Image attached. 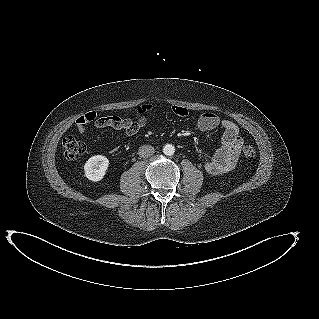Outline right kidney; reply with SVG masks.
I'll use <instances>...</instances> for the list:
<instances>
[{
	"mask_svg": "<svg viewBox=\"0 0 319 319\" xmlns=\"http://www.w3.org/2000/svg\"><path fill=\"white\" fill-rule=\"evenodd\" d=\"M109 160L103 155H95L89 158L84 165L86 178L91 181H100L106 174Z\"/></svg>",
	"mask_w": 319,
	"mask_h": 319,
	"instance_id": "obj_1",
	"label": "right kidney"
}]
</instances>
